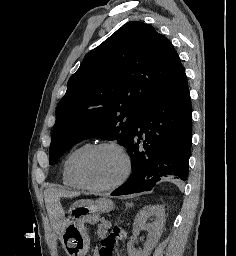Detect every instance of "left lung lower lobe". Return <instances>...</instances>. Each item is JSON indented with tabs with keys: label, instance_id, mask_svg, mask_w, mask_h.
Returning a JSON list of instances; mask_svg holds the SVG:
<instances>
[{
	"label": "left lung lower lobe",
	"instance_id": "obj_1",
	"mask_svg": "<svg viewBox=\"0 0 236 256\" xmlns=\"http://www.w3.org/2000/svg\"><path fill=\"white\" fill-rule=\"evenodd\" d=\"M191 140V100L184 71L137 117L127 148L132 174L111 195L150 191L165 178L185 181Z\"/></svg>",
	"mask_w": 236,
	"mask_h": 256
}]
</instances>
